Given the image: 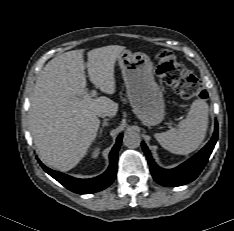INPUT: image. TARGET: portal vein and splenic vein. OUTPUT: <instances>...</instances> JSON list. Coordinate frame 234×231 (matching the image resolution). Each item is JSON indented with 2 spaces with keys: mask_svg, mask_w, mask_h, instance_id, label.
I'll list each match as a JSON object with an SVG mask.
<instances>
[{
  "mask_svg": "<svg viewBox=\"0 0 234 231\" xmlns=\"http://www.w3.org/2000/svg\"><path fill=\"white\" fill-rule=\"evenodd\" d=\"M96 94H97V91L93 89V90L91 91V93H90V96H91V97H95Z\"/></svg>",
  "mask_w": 234,
  "mask_h": 231,
  "instance_id": "obj_1",
  "label": "portal vein and splenic vein"
}]
</instances>
